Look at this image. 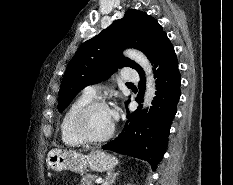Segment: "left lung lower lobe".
I'll use <instances>...</instances> for the list:
<instances>
[{
	"label": "left lung lower lobe",
	"instance_id": "1",
	"mask_svg": "<svg viewBox=\"0 0 233 185\" xmlns=\"http://www.w3.org/2000/svg\"><path fill=\"white\" fill-rule=\"evenodd\" d=\"M156 80V96L149 112L141 111L142 106L127 115V122L119 136L102 148L120 154L146 160L153 170L163 157L168 144L172 120L177 112L180 98V72L178 60L170 40L166 37L151 58ZM140 75V93L136 100L142 101L145 76Z\"/></svg>",
	"mask_w": 233,
	"mask_h": 185
}]
</instances>
